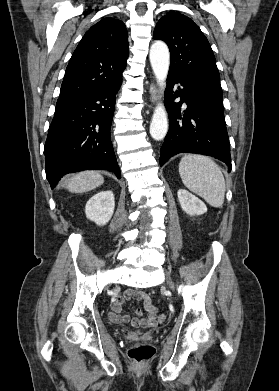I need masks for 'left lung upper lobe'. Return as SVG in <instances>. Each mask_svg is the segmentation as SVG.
Masks as SVG:
<instances>
[{
	"mask_svg": "<svg viewBox=\"0 0 279 391\" xmlns=\"http://www.w3.org/2000/svg\"><path fill=\"white\" fill-rule=\"evenodd\" d=\"M154 39L170 48L168 75L223 101L220 75L210 44L200 28L187 16L171 11L156 24Z\"/></svg>",
	"mask_w": 279,
	"mask_h": 391,
	"instance_id": "left-lung-upper-lobe-1",
	"label": "left lung upper lobe"
}]
</instances>
